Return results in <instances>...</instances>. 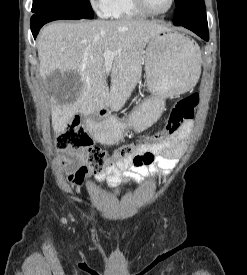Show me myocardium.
Returning a JSON list of instances; mask_svg holds the SVG:
<instances>
[{
	"label": "myocardium",
	"instance_id": "f54148a6",
	"mask_svg": "<svg viewBox=\"0 0 247 275\" xmlns=\"http://www.w3.org/2000/svg\"><path fill=\"white\" fill-rule=\"evenodd\" d=\"M136 6L146 15H150V16H161V15H165L168 12H170L175 4V0H170V5L168 6L167 9H165L164 11H153L146 3L145 0H134Z\"/></svg>",
	"mask_w": 247,
	"mask_h": 275
}]
</instances>
